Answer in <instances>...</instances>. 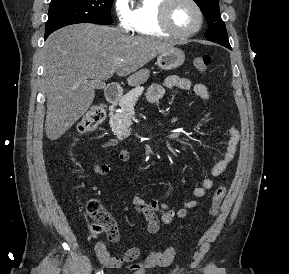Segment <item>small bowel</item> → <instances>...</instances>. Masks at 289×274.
<instances>
[{"instance_id": "1", "label": "small bowel", "mask_w": 289, "mask_h": 274, "mask_svg": "<svg viewBox=\"0 0 289 274\" xmlns=\"http://www.w3.org/2000/svg\"><path fill=\"white\" fill-rule=\"evenodd\" d=\"M177 88L180 90H190L198 97L208 100L210 97L207 87L202 83L192 85L187 78H182L176 75L168 76L163 84H153L147 92V97L151 101L161 99L166 89ZM240 139V132L236 127H231L229 130V139L226 144V150L223 158L214 164L210 169V174L213 177L220 176L225 172L230 162L233 160ZM115 158L119 162H126L129 159V153L126 150L115 151ZM95 172L101 175L108 174L112 170V163L95 164ZM214 186V182L210 178L203 179L200 184L193 189V199L185 200L180 207L174 208L168 203L153 198L146 201L143 197V190L139 189L133 197V205L137 212L141 213L147 221V229L151 234L159 230L160 223L169 224L173 219H182L186 217L190 209L196 208L199 205V199L204 197L209 190ZM119 234L108 236L109 240L115 242L118 240ZM95 253L100 263L106 268H120L125 263H131L140 255V249L132 247L123 255H111L104 242H98L95 245Z\"/></svg>"}]
</instances>
